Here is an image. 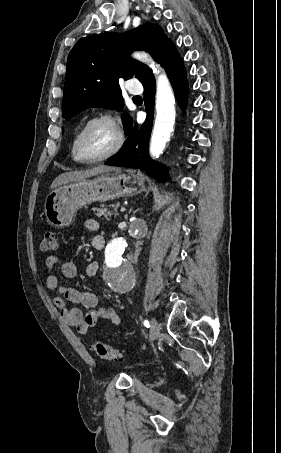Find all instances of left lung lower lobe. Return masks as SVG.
<instances>
[{
  "label": "left lung lower lobe",
  "mask_w": 281,
  "mask_h": 453,
  "mask_svg": "<svg viewBox=\"0 0 281 453\" xmlns=\"http://www.w3.org/2000/svg\"><path fill=\"white\" fill-rule=\"evenodd\" d=\"M159 62L165 68L172 83L177 101L184 110L187 103L188 90L186 71L183 66V60L172 41L166 45ZM142 84L144 86L145 110L147 112L146 121L140 129L136 127L132 128L122 149L106 161L105 164L145 170L149 176L160 182H164L167 180L165 169L160 164L151 160L148 155V143L152 129L156 89L152 72L144 78Z\"/></svg>",
  "instance_id": "0a47b994"
}]
</instances>
